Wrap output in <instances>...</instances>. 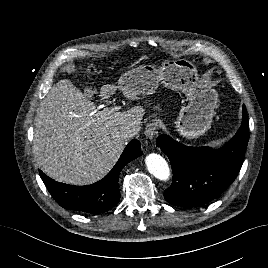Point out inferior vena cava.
Wrapping results in <instances>:
<instances>
[{
    "mask_svg": "<svg viewBox=\"0 0 268 268\" xmlns=\"http://www.w3.org/2000/svg\"><path fill=\"white\" fill-rule=\"evenodd\" d=\"M139 132V128H133L124 132H113L112 137L118 140H129L135 137Z\"/></svg>",
    "mask_w": 268,
    "mask_h": 268,
    "instance_id": "1",
    "label": "inferior vena cava"
}]
</instances>
